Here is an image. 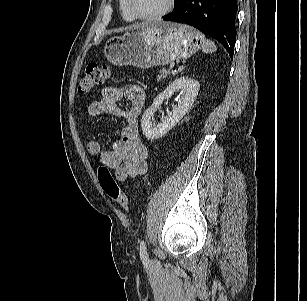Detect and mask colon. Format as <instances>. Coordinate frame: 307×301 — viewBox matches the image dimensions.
Returning a JSON list of instances; mask_svg holds the SVG:
<instances>
[{
  "instance_id": "5ec220e1",
  "label": "colon",
  "mask_w": 307,
  "mask_h": 301,
  "mask_svg": "<svg viewBox=\"0 0 307 301\" xmlns=\"http://www.w3.org/2000/svg\"><path fill=\"white\" fill-rule=\"evenodd\" d=\"M110 76L111 71L108 66L89 63L79 82L78 91L82 94L89 93L98 88ZM98 178L106 195L116 200L118 204L129 213L131 209L129 200L107 166L101 165L99 167Z\"/></svg>"
}]
</instances>
